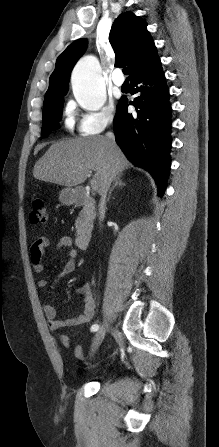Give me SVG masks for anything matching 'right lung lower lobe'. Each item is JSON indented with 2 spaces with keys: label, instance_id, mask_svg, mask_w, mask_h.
<instances>
[{
  "label": "right lung lower lobe",
  "instance_id": "98d812e1",
  "mask_svg": "<svg viewBox=\"0 0 219 447\" xmlns=\"http://www.w3.org/2000/svg\"><path fill=\"white\" fill-rule=\"evenodd\" d=\"M132 94L139 93L127 110V99L121 98L114 118L116 143L135 165L154 177L161 197L170 170L171 104L160 59L130 79Z\"/></svg>",
  "mask_w": 219,
  "mask_h": 447
}]
</instances>
